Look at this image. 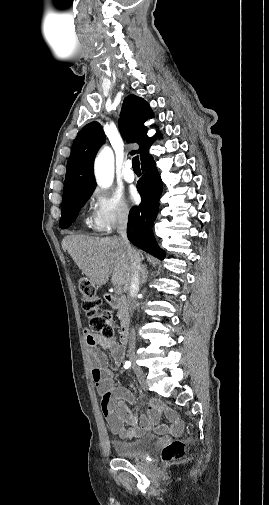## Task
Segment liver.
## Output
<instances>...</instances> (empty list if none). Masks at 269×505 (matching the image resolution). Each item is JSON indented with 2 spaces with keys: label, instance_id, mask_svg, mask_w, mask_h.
<instances>
[{
  "label": "liver",
  "instance_id": "6515ba94",
  "mask_svg": "<svg viewBox=\"0 0 269 505\" xmlns=\"http://www.w3.org/2000/svg\"><path fill=\"white\" fill-rule=\"evenodd\" d=\"M62 249L92 284L102 286L111 275L113 285L123 286L125 292L128 290L130 263L119 237L68 235L62 240Z\"/></svg>",
  "mask_w": 269,
  "mask_h": 505
}]
</instances>
